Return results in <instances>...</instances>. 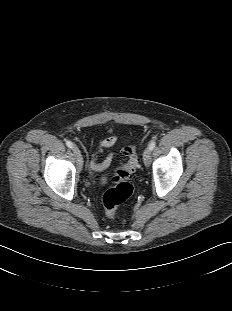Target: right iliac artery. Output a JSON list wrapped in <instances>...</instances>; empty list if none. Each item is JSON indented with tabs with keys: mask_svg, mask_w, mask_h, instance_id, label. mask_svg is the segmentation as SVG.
Segmentation results:
<instances>
[{
	"mask_svg": "<svg viewBox=\"0 0 232 311\" xmlns=\"http://www.w3.org/2000/svg\"><path fill=\"white\" fill-rule=\"evenodd\" d=\"M66 145L71 149L74 148V144L69 140L66 141Z\"/></svg>",
	"mask_w": 232,
	"mask_h": 311,
	"instance_id": "right-iliac-artery-1",
	"label": "right iliac artery"
}]
</instances>
